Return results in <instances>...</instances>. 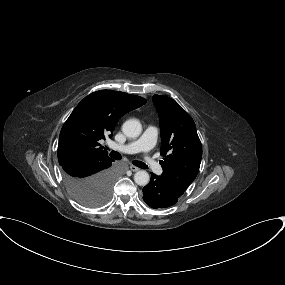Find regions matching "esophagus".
Masks as SVG:
<instances>
[{"instance_id":"esophagus-1","label":"esophagus","mask_w":285,"mask_h":285,"mask_svg":"<svg viewBox=\"0 0 285 285\" xmlns=\"http://www.w3.org/2000/svg\"><path fill=\"white\" fill-rule=\"evenodd\" d=\"M130 169H131V171H133V172H136V171L139 170V168L136 167V166H134V165H130Z\"/></svg>"}]
</instances>
